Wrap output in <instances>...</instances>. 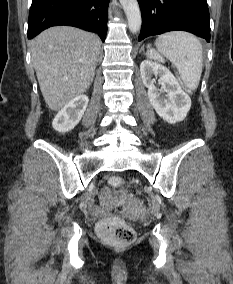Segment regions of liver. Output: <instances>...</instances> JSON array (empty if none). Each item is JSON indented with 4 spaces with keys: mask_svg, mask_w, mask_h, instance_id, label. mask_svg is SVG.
<instances>
[{
    "mask_svg": "<svg viewBox=\"0 0 233 284\" xmlns=\"http://www.w3.org/2000/svg\"><path fill=\"white\" fill-rule=\"evenodd\" d=\"M31 46L40 90L49 109H62L89 88L100 54L97 35L57 26L40 33Z\"/></svg>",
    "mask_w": 233,
    "mask_h": 284,
    "instance_id": "6515ba94",
    "label": "liver"
}]
</instances>
